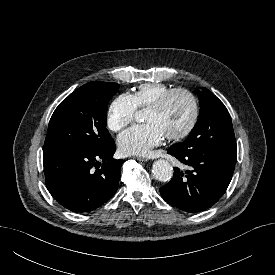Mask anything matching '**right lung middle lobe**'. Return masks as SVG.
<instances>
[{
  "mask_svg": "<svg viewBox=\"0 0 275 275\" xmlns=\"http://www.w3.org/2000/svg\"><path fill=\"white\" fill-rule=\"evenodd\" d=\"M118 87L93 81L64 99L50 119L44 149L97 151L106 147L113 140L106 129L107 107Z\"/></svg>",
  "mask_w": 275,
  "mask_h": 275,
  "instance_id": "right-lung-middle-lobe-1",
  "label": "right lung middle lobe"
}]
</instances>
